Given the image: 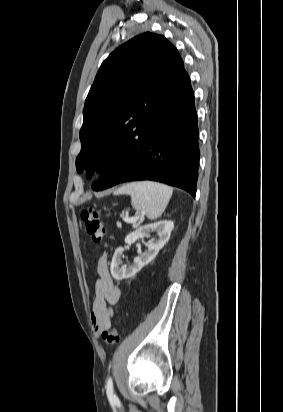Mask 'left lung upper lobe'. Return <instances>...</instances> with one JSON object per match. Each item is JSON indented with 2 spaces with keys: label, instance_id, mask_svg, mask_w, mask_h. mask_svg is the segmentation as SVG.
<instances>
[{
  "label": "left lung upper lobe",
  "instance_id": "obj_1",
  "mask_svg": "<svg viewBox=\"0 0 283 412\" xmlns=\"http://www.w3.org/2000/svg\"><path fill=\"white\" fill-rule=\"evenodd\" d=\"M187 77L177 49L161 35L143 33L115 49L85 101L77 171L90 178L119 148L140 144Z\"/></svg>",
  "mask_w": 283,
  "mask_h": 412
}]
</instances>
